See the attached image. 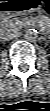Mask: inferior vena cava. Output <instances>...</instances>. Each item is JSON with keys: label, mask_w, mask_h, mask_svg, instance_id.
Here are the masks:
<instances>
[{"label": "inferior vena cava", "mask_w": 50, "mask_h": 111, "mask_svg": "<svg viewBox=\"0 0 50 111\" xmlns=\"http://www.w3.org/2000/svg\"><path fill=\"white\" fill-rule=\"evenodd\" d=\"M21 33L17 30H11V31H7L5 32L2 37L4 40H11L14 38H18L20 37Z\"/></svg>", "instance_id": "inferior-vena-cava-1"}]
</instances>
